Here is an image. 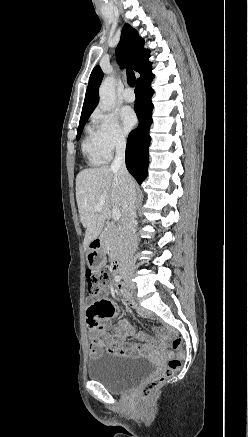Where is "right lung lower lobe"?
<instances>
[{
    "label": "right lung lower lobe",
    "mask_w": 248,
    "mask_h": 437,
    "mask_svg": "<svg viewBox=\"0 0 248 437\" xmlns=\"http://www.w3.org/2000/svg\"><path fill=\"white\" fill-rule=\"evenodd\" d=\"M154 75L151 70L137 79L135 94L136 101L134 110L139 119V125L131 131L126 146V166L136 181L141 184L148 173L150 145L149 129L152 123L153 104L151 97L154 90L150 83Z\"/></svg>",
    "instance_id": "obj_1"
}]
</instances>
